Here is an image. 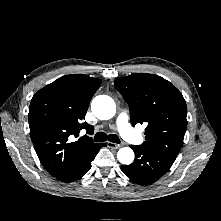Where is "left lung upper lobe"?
Wrapping results in <instances>:
<instances>
[{
	"instance_id": "5c2ea615",
	"label": "left lung upper lobe",
	"mask_w": 221,
	"mask_h": 221,
	"mask_svg": "<svg viewBox=\"0 0 221 221\" xmlns=\"http://www.w3.org/2000/svg\"><path fill=\"white\" fill-rule=\"evenodd\" d=\"M114 86L129 105L131 123L147 124L142 146L176 157L187 126L186 102L181 92L154 74L118 77Z\"/></svg>"
}]
</instances>
